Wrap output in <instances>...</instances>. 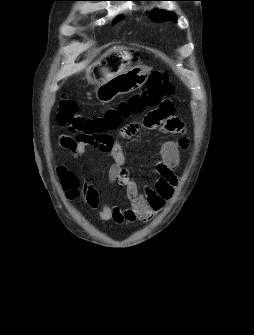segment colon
Here are the masks:
<instances>
[{"mask_svg":"<svg viewBox=\"0 0 254 335\" xmlns=\"http://www.w3.org/2000/svg\"><path fill=\"white\" fill-rule=\"evenodd\" d=\"M173 93L174 86L168 74L156 71L149 76L140 91L119 101L116 107L107 109L102 116L88 117L79 112L75 101L63 97L57 108V121L61 127L76 133L77 139L106 151L113 141L108 132L117 129L123 119L145 109L155 108L156 104H162V98H169Z\"/></svg>","mask_w":254,"mask_h":335,"instance_id":"colon-1","label":"colon"}]
</instances>
